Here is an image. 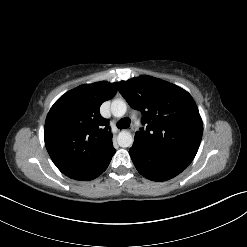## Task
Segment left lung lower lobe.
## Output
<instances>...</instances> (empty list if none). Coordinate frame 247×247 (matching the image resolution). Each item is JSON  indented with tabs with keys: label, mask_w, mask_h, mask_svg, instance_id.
<instances>
[{
	"label": "left lung lower lobe",
	"mask_w": 247,
	"mask_h": 247,
	"mask_svg": "<svg viewBox=\"0 0 247 247\" xmlns=\"http://www.w3.org/2000/svg\"><path fill=\"white\" fill-rule=\"evenodd\" d=\"M129 153L138 172L153 181L169 180L184 170V168L163 160L137 143L133 144Z\"/></svg>",
	"instance_id": "0a47b994"
}]
</instances>
